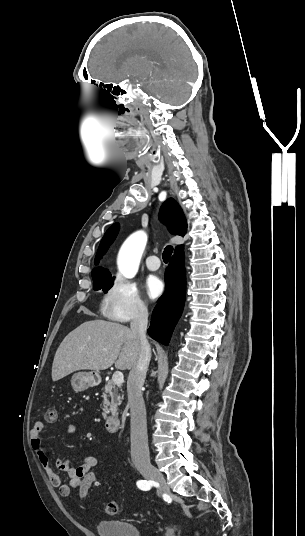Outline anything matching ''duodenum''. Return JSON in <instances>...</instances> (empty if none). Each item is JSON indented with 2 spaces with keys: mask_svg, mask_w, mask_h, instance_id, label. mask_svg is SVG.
Masks as SVG:
<instances>
[{
  "mask_svg": "<svg viewBox=\"0 0 305 536\" xmlns=\"http://www.w3.org/2000/svg\"><path fill=\"white\" fill-rule=\"evenodd\" d=\"M106 432L114 434L120 430V421L116 415H110L104 422Z\"/></svg>",
  "mask_w": 305,
  "mask_h": 536,
  "instance_id": "duodenum-1",
  "label": "duodenum"
}]
</instances>
